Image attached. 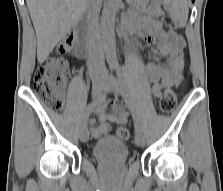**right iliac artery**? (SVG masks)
Wrapping results in <instances>:
<instances>
[{
  "label": "right iliac artery",
  "mask_w": 223,
  "mask_h": 191,
  "mask_svg": "<svg viewBox=\"0 0 223 191\" xmlns=\"http://www.w3.org/2000/svg\"><path fill=\"white\" fill-rule=\"evenodd\" d=\"M109 91L108 90H104V92L100 95H98L97 97H94L93 100L89 103V105L87 106V109H86V113H89L91 111H93V109L103 100L106 99V96H107V93ZM85 124H84V121H82L81 123V127H84Z\"/></svg>",
  "instance_id": "82829eb1"
}]
</instances>
